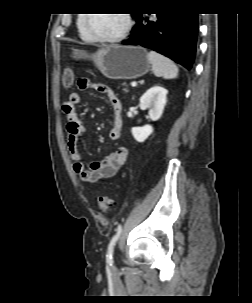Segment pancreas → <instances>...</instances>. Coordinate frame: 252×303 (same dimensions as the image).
Returning a JSON list of instances; mask_svg holds the SVG:
<instances>
[{"label": "pancreas", "instance_id": "pancreas-1", "mask_svg": "<svg viewBox=\"0 0 252 303\" xmlns=\"http://www.w3.org/2000/svg\"><path fill=\"white\" fill-rule=\"evenodd\" d=\"M123 86H125L124 90L127 91L128 89L126 88V84L124 83Z\"/></svg>", "mask_w": 252, "mask_h": 303}]
</instances>
